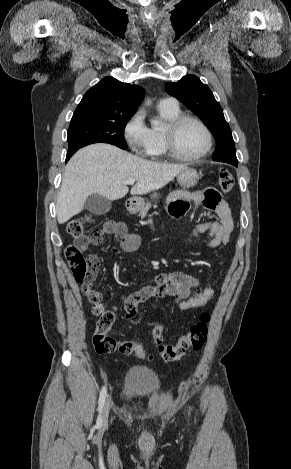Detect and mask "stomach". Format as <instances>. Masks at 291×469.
<instances>
[{
  "instance_id": "1",
  "label": "stomach",
  "mask_w": 291,
  "mask_h": 469,
  "mask_svg": "<svg viewBox=\"0 0 291 469\" xmlns=\"http://www.w3.org/2000/svg\"><path fill=\"white\" fill-rule=\"evenodd\" d=\"M199 180V174L197 170L193 168H187L180 172L177 176V181L183 188H189L194 186ZM158 193L154 192L151 194L152 199H157ZM144 205V199L142 197H133L130 199V208L133 211H138Z\"/></svg>"
}]
</instances>
